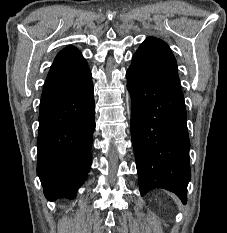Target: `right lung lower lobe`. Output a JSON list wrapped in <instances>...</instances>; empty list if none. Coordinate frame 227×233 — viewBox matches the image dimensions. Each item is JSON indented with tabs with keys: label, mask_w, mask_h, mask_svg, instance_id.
<instances>
[{
	"label": "right lung lower lobe",
	"mask_w": 227,
	"mask_h": 233,
	"mask_svg": "<svg viewBox=\"0 0 227 233\" xmlns=\"http://www.w3.org/2000/svg\"><path fill=\"white\" fill-rule=\"evenodd\" d=\"M95 104L92 79L40 108L37 174L50 201L74 199L91 166Z\"/></svg>",
	"instance_id": "obj_1"
}]
</instances>
